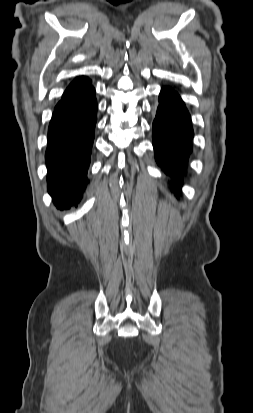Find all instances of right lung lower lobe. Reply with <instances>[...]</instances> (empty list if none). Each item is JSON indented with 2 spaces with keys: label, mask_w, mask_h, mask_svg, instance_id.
I'll use <instances>...</instances> for the list:
<instances>
[{
  "label": "right lung lower lobe",
  "mask_w": 253,
  "mask_h": 413,
  "mask_svg": "<svg viewBox=\"0 0 253 413\" xmlns=\"http://www.w3.org/2000/svg\"><path fill=\"white\" fill-rule=\"evenodd\" d=\"M97 121L95 90L90 85L56 105L48 129V191L60 210L79 203Z\"/></svg>",
  "instance_id": "obj_1"
}]
</instances>
